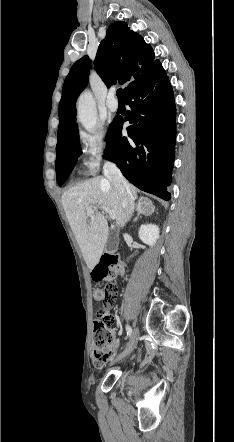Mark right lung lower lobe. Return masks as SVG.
I'll list each match as a JSON object with an SVG mask.
<instances>
[{"label":"right lung lower lobe","instance_id":"obj_1","mask_svg":"<svg viewBox=\"0 0 234 442\" xmlns=\"http://www.w3.org/2000/svg\"><path fill=\"white\" fill-rule=\"evenodd\" d=\"M124 100L130 106L125 119H114L106 139V159L139 189L166 201L171 183L176 141V109L169 79L159 63L132 81ZM129 121L128 136H122Z\"/></svg>","mask_w":234,"mask_h":442}]
</instances>
